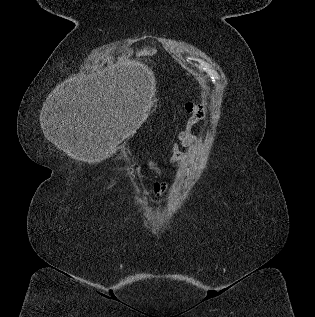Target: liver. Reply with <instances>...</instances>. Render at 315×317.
<instances>
[{
	"label": "liver",
	"instance_id": "liver-1",
	"mask_svg": "<svg viewBox=\"0 0 315 317\" xmlns=\"http://www.w3.org/2000/svg\"><path fill=\"white\" fill-rule=\"evenodd\" d=\"M156 53V50H152V52H150V51H147V50H144V51H142L141 53H140V55H153V54H155Z\"/></svg>",
	"mask_w": 315,
	"mask_h": 317
}]
</instances>
